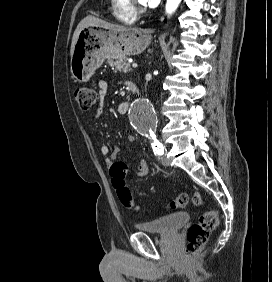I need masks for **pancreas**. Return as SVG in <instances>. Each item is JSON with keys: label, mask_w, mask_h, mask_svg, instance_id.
<instances>
[{"label": "pancreas", "mask_w": 272, "mask_h": 282, "mask_svg": "<svg viewBox=\"0 0 272 282\" xmlns=\"http://www.w3.org/2000/svg\"><path fill=\"white\" fill-rule=\"evenodd\" d=\"M108 64L113 69H115V71L125 72V73L131 71L130 63L127 61V58H121V59H118L116 61L109 60Z\"/></svg>", "instance_id": "obj_1"}]
</instances>
